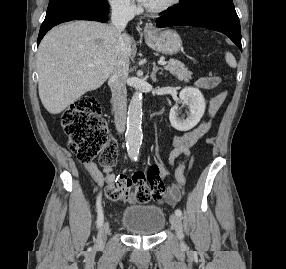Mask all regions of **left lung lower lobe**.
Listing matches in <instances>:
<instances>
[{"mask_svg":"<svg viewBox=\"0 0 286 269\" xmlns=\"http://www.w3.org/2000/svg\"><path fill=\"white\" fill-rule=\"evenodd\" d=\"M156 20L157 27L198 26L227 35L242 51L240 22L233 3H203L189 9L172 7Z\"/></svg>","mask_w":286,"mask_h":269,"instance_id":"obj_1","label":"left lung lower lobe"}]
</instances>
